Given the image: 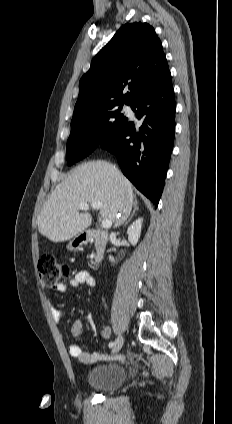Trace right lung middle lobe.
Here are the masks:
<instances>
[{
    "mask_svg": "<svg viewBox=\"0 0 232 424\" xmlns=\"http://www.w3.org/2000/svg\"><path fill=\"white\" fill-rule=\"evenodd\" d=\"M123 105H111L88 110L71 121L66 158L71 165L94 151L103 138H110L128 119L120 111Z\"/></svg>",
    "mask_w": 232,
    "mask_h": 424,
    "instance_id": "right-lung-middle-lobe-1",
    "label": "right lung middle lobe"
}]
</instances>
